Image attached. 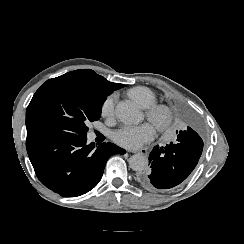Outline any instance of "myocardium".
<instances>
[{
  "label": "myocardium",
  "mask_w": 244,
  "mask_h": 244,
  "mask_svg": "<svg viewBox=\"0 0 244 244\" xmlns=\"http://www.w3.org/2000/svg\"><path fill=\"white\" fill-rule=\"evenodd\" d=\"M146 119L157 129L164 130L170 125V119L166 112L159 106H152L145 111Z\"/></svg>",
  "instance_id": "obj_1"
}]
</instances>
